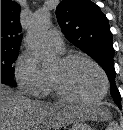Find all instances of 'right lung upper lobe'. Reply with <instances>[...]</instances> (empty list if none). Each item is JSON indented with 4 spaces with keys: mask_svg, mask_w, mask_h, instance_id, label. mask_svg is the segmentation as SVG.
<instances>
[{
    "mask_svg": "<svg viewBox=\"0 0 123 130\" xmlns=\"http://www.w3.org/2000/svg\"><path fill=\"white\" fill-rule=\"evenodd\" d=\"M21 7L15 1L1 0V50H19L21 44Z\"/></svg>",
    "mask_w": 123,
    "mask_h": 130,
    "instance_id": "1",
    "label": "right lung upper lobe"
}]
</instances>
